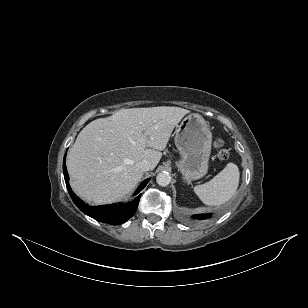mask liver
<instances>
[{"mask_svg": "<svg viewBox=\"0 0 308 308\" xmlns=\"http://www.w3.org/2000/svg\"><path fill=\"white\" fill-rule=\"evenodd\" d=\"M189 112L169 106L130 108L90 122L67 156L73 191L95 205L124 198L143 177L136 164L147 159L154 169L175 126Z\"/></svg>", "mask_w": 308, "mask_h": 308, "instance_id": "liver-1", "label": "liver"}]
</instances>
